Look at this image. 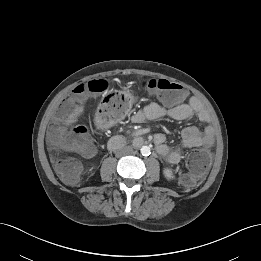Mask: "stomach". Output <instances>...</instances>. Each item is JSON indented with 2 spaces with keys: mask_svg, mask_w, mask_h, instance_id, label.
Segmentation results:
<instances>
[{
  "mask_svg": "<svg viewBox=\"0 0 261 261\" xmlns=\"http://www.w3.org/2000/svg\"><path fill=\"white\" fill-rule=\"evenodd\" d=\"M124 98H125V100L128 101L129 104L132 103L133 96L131 94L125 93L124 94ZM95 121H96L97 127L100 128V129L108 128V127H110L112 125L111 122L105 120L100 114H98L96 116Z\"/></svg>",
  "mask_w": 261,
  "mask_h": 261,
  "instance_id": "stomach-1",
  "label": "stomach"
}]
</instances>
